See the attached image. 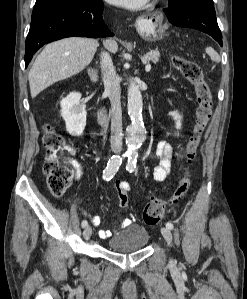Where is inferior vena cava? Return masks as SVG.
Here are the masks:
<instances>
[{
	"instance_id": "inferior-vena-cava-1",
	"label": "inferior vena cava",
	"mask_w": 247,
	"mask_h": 299,
	"mask_svg": "<svg viewBox=\"0 0 247 299\" xmlns=\"http://www.w3.org/2000/svg\"><path fill=\"white\" fill-rule=\"evenodd\" d=\"M101 72L105 92L111 102V150L115 153H120L123 138L120 81L112 59L107 52L101 53Z\"/></svg>"
}]
</instances>
